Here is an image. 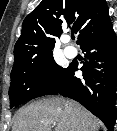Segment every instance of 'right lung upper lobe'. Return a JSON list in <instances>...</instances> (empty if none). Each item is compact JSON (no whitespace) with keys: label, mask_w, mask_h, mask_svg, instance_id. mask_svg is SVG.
<instances>
[{"label":"right lung upper lobe","mask_w":117,"mask_h":131,"mask_svg":"<svg viewBox=\"0 0 117 131\" xmlns=\"http://www.w3.org/2000/svg\"><path fill=\"white\" fill-rule=\"evenodd\" d=\"M111 25L105 0H42L23 21L13 68L53 54L56 38L66 29L79 33L80 45Z\"/></svg>","instance_id":"right-lung-upper-lobe-1"}]
</instances>
